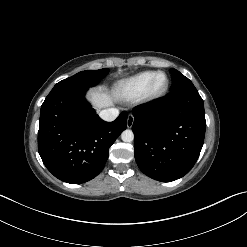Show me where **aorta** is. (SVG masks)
I'll return each mask as SVG.
<instances>
[{
    "mask_svg": "<svg viewBox=\"0 0 247 247\" xmlns=\"http://www.w3.org/2000/svg\"><path fill=\"white\" fill-rule=\"evenodd\" d=\"M121 139L124 142H132L134 140V133L132 130L126 129L121 134Z\"/></svg>",
    "mask_w": 247,
    "mask_h": 247,
    "instance_id": "obj_1",
    "label": "aorta"
}]
</instances>
